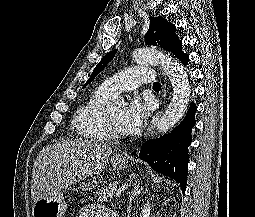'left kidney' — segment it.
<instances>
[{
  "mask_svg": "<svg viewBox=\"0 0 255 217\" xmlns=\"http://www.w3.org/2000/svg\"><path fill=\"white\" fill-rule=\"evenodd\" d=\"M142 217H150L151 213H150V204L149 202H147L142 211H141Z\"/></svg>",
  "mask_w": 255,
  "mask_h": 217,
  "instance_id": "5707ae66",
  "label": "left kidney"
}]
</instances>
